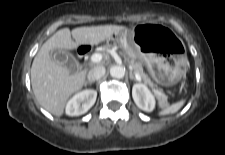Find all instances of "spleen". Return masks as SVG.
I'll return each mask as SVG.
<instances>
[{
  "label": "spleen",
  "instance_id": "obj_1",
  "mask_svg": "<svg viewBox=\"0 0 225 155\" xmlns=\"http://www.w3.org/2000/svg\"><path fill=\"white\" fill-rule=\"evenodd\" d=\"M184 102L185 101L182 100L170 106H166L162 111L159 112V115L164 116L176 113L184 105Z\"/></svg>",
  "mask_w": 225,
  "mask_h": 155
}]
</instances>
